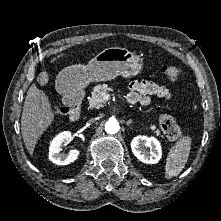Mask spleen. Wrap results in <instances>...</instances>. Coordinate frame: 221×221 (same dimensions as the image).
Segmentation results:
<instances>
[{
    "label": "spleen",
    "instance_id": "obj_1",
    "mask_svg": "<svg viewBox=\"0 0 221 221\" xmlns=\"http://www.w3.org/2000/svg\"><path fill=\"white\" fill-rule=\"evenodd\" d=\"M190 149V136H184L175 143L166 158L165 178L170 179L180 174L188 161Z\"/></svg>",
    "mask_w": 221,
    "mask_h": 221
}]
</instances>
